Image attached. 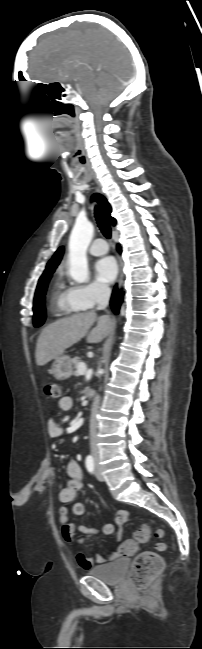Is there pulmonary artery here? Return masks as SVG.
Returning <instances> with one entry per match:
<instances>
[{
	"label": "pulmonary artery",
	"mask_w": 202,
	"mask_h": 649,
	"mask_svg": "<svg viewBox=\"0 0 202 649\" xmlns=\"http://www.w3.org/2000/svg\"><path fill=\"white\" fill-rule=\"evenodd\" d=\"M108 252V245L104 239L98 238L93 241L89 248V253L95 256L103 255Z\"/></svg>",
	"instance_id": "1"
}]
</instances>
